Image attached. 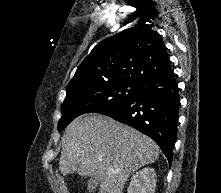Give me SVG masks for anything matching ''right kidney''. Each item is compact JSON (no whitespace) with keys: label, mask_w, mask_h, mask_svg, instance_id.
Wrapping results in <instances>:
<instances>
[{"label":"right kidney","mask_w":221,"mask_h":193,"mask_svg":"<svg viewBox=\"0 0 221 193\" xmlns=\"http://www.w3.org/2000/svg\"><path fill=\"white\" fill-rule=\"evenodd\" d=\"M154 168H144L133 175L127 193H155Z\"/></svg>","instance_id":"1"}]
</instances>
